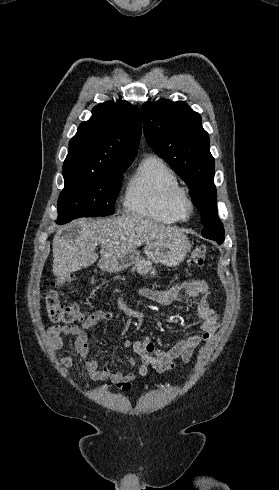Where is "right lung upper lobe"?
I'll list each match as a JSON object with an SVG mask.
<instances>
[{"mask_svg": "<svg viewBox=\"0 0 279 490\" xmlns=\"http://www.w3.org/2000/svg\"><path fill=\"white\" fill-rule=\"evenodd\" d=\"M141 116L135 106L119 100L95 106L69 143L64 171H104L130 165L140 143Z\"/></svg>", "mask_w": 279, "mask_h": 490, "instance_id": "right-lung-upper-lobe-1", "label": "right lung upper lobe"}]
</instances>
